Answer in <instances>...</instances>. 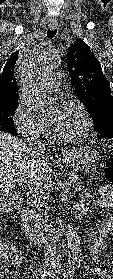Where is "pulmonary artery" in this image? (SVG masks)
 <instances>
[{
    "label": "pulmonary artery",
    "mask_w": 113,
    "mask_h": 279,
    "mask_svg": "<svg viewBox=\"0 0 113 279\" xmlns=\"http://www.w3.org/2000/svg\"><path fill=\"white\" fill-rule=\"evenodd\" d=\"M62 78L60 73H51L46 78L45 87L50 92H57L59 90V82Z\"/></svg>",
    "instance_id": "e3ab8cb5"
}]
</instances>
